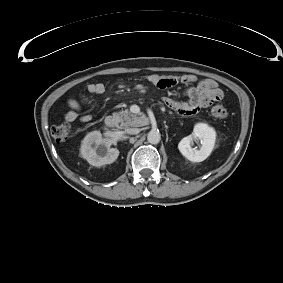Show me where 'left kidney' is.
Instances as JSON below:
<instances>
[{
	"label": "left kidney",
	"instance_id": "5707ae66",
	"mask_svg": "<svg viewBox=\"0 0 283 283\" xmlns=\"http://www.w3.org/2000/svg\"><path fill=\"white\" fill-rule=\"evenodd\" d=\"M200 139L202 146L199 150L193 149L191 143ZM216 140V132L206 123H197L192 135L184 137L178 144L181 154L192 162L204 161L212 152Z\"/></svg>",
	"mask_w": 283,
	"mask_h": 283
}]
</instances>
